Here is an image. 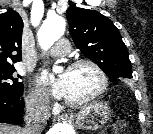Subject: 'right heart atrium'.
I'll use <instances>...</instances> for the list:
<instances>
[{
    "mask_svg": "<svg viewBox=\"0 0 153 134\" xmlns=\"http://www.w3.org/2000/svg\"><path fill=\"white\" fill-rule=\"evenodd\" d=\"M26 103L28 108L37 114H46L51 107L47 94L39 88H33L27 95Z\"/></svg>",
    "mask_w": 153,
    "mask_h": 134,
    "instance_id": "1",
    "label": "right heart atrium"
}]
</instances>
